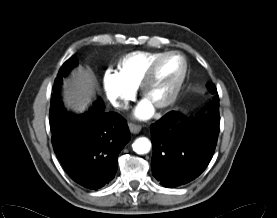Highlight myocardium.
Returning <instances> with one entry per match:
<instances>
[{
  "mask_svg": "<svg viewBox=\"0 0 277 218\" xmlns=\"http://www.w3.org/2000/svg\"><path fill=\"white\" fill-rule=\"evenodd\" d=\"M171 55L178 56L181 59L183 68H182V72L180 74L179 79L173 86L168 97L155 105V107L159 108V109L166 108L175 102V100L183 86V83L185 81V78H186L187 72H188V62H187L186 57L178 51H166V52L161 53L150 63V65L148 66V68L139 84L140 93L143 97L146 98L147 88L155 76L158 65L160 64V62L163 59H165L166 57L171 56Z\"/></svg>",
  "mask_w": 277,
  "mask_h": 218,
  "instance_id": "myocardium-1",
  "label": "myocardium"
}]
</instances>
